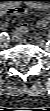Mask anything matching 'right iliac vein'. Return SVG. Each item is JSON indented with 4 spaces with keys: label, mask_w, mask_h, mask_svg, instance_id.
<instances>
[{
    "label": "right iliac vein",
    "mask_w": 50,
    "mask_h": 111,
    "mask_svg": "<svg viewBox=\"0 0 50 111\" xmlns=\"http://www.w3.org/2000/svg\"><path fill=\"white\" fill-rule=\"evenodd\" d=\"M0 44H1V46H5L6 45V39H5V37H1L0 38Z\"/></svg>",
    "instance_id": "right-iliac-vein-1"
}]
</instances>
